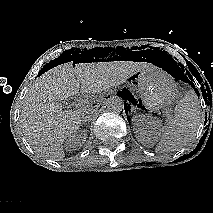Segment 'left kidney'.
Segmentation results:
<instances>
[{
  "mask_svg": "<svg viewBox=\"0 0 213 213\" xmlns=\"http://www.w3.org/2000/svg\"><path fill=\"white\" fill-rule=\"evenodd\" d=\"M133 127L138 139L143 143H152L160 130V124L148 115H136L133 118Z\"/></svg>",
  "mask_w": 213,
  "mask_h": 213,
  "instance_id": "left-kidney-1",
  "label": "left kidney"
}]
</instances>
